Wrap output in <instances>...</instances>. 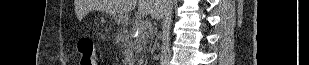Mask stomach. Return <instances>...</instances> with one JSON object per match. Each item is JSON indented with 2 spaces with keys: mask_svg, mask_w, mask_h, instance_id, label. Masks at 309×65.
Instances as JSON below:
<instances>
[{
  "mask_svg": "<svg viewBox=\"0 0 309 65\" xmlns=\"http://www.w3.org/2000/svg\"><path fill=\"white\" fill-rule=\"evenodd\" d=\"M113 16L115 21L119 24H126L128 22V16L126 14L116 13Z\"/></svg>",
  "mask_w": 309,
  "mask_h": 65,
  "instance_id": "0dacf381",
  "label": "stomach"
}]
</instances>
